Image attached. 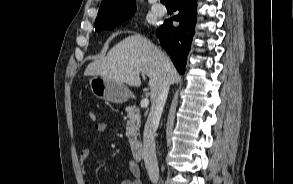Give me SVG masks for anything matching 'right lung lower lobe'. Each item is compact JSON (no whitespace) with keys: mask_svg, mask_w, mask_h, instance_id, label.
I'll list each match as a JSON object with an SVG mask.
<instances>
[{"mask_svg":"<svg viewBox=\"0 0 293 184\" xmlns=\"http://www.w3.org/2000/svg\"><path fill=\"white\" fill-rule=\"evenodd\" d=\"M175 10L179 13L174 17L179 21L178 27L172 26V19L165 20L157 30L162 47L169 53L177 70L184 74V67L190 50L192 37L195 33L196 0H172Z\"/></svg>","mask_w":293,"mask_h":184,"instance_id":"obj_1","label":"right lung lower lobe"}]
</instances>
